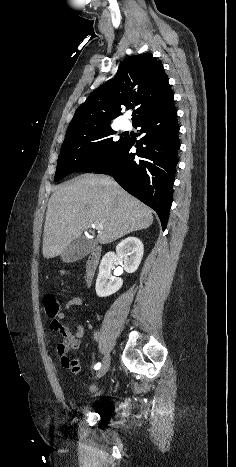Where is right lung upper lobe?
<instances>
[{
	"label": "right lung upper lobe",
	"instance_id": "cb5924a9",
	"mask_svg": "<svg viewBox=\"0 0 236 467\" xmlns=\"http://www.w3.org/2000/svg\"><path fill=\"white\" fill-rule=\"evenodd\" d=\"M173 98L163 64L152 54L124 59L113 80L98 87L76 111L66 134L109 127L121 106L134 103L133 123Z\"/></svg>",
	"mask_w": 236,
	"mask_h": 467
}]
</instances>
